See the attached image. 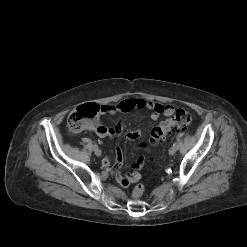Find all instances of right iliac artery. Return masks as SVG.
Here are the masks:
<instances>
[{"mask_svg":"<svg viewBox=\"0 0 247 247\" xmlns=\"http://www.w3.org/2000/svg\"><path fill=\"white\" fill-rule=\"evenodd\" d=\"M93 149L97 148L98 146L96 144L92 145Z\"/></svg>","mask_w":247,"mask_h":247,"instance_id":"82829eb1","label":"right iliac artery"}]
</instances>
